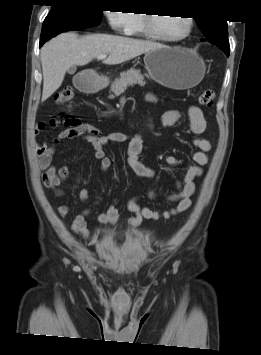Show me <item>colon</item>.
Returning <instances> with one entry per match:
<instances>
[{"label":"colon","mask_w":261,"mask_h":355,"mask_svg":"<svg viewBox=\"0 0 261 355\" xmlns=\"http://www.w3.org/2000/svg\"><path fill=\"white\" fill-rule=\"evenodd\" d=\"M54 100L58 104H70L73 101V91L70 87H64L54 94ZM215 100V91L213 89L204 90L198 99L202 106H212ZM56 120L53 122L55 123ZM59 122V121H58Z\"/></svg>","instance_id":"obj_1"}]
</instances>
